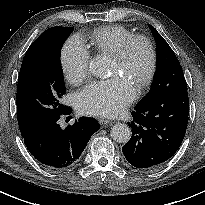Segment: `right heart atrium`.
Wrapping results in <instances>:
<instances>
[{"label":"right heart atrium","instance_id":"obj_1","mask_svg":"<svg viewBox=\"0 0 205 205\" xmlns=\"http://www.w3.org/2000/svg\"><path fill=\"white\" fill-rule=\"evenodd\" d=\"M90 53L82 39L71 36L66 40L60 52V64L67 81L79 84L89 73Z\"/></svg>","mask_w":205,"mask_h":205}]
</instances>
